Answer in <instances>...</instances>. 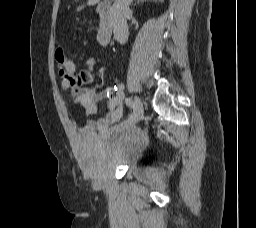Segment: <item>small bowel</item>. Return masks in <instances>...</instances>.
Segmentation results:
<instances>
[{"mask_svg":"<svg viewBox=\"0 0 256 228\" xmlns=\"http://www.w3.org/2000/svg\"><path fill=\"white\" fill-rule=\"evenodd\" d=\"M83 65L84 69L77 75L75 74L76 64L73 60L68 59L65 64L61 65L59 69L61 85L75 103L83 106L85 115L95 114L98 109V102L114 94V106L112 110L101 119L87 121L85 126L80 130L81 134L93 132L103 133L112 124L120 121L124 115L122 93L116 87H107L103 90H98L96 87H83V85L92 83L95 79V59L91 57L87 58Z\"/></svg>","mask_w":256,"mask_h":228,"instance_id":"1","label":"small bowel"}]
</instances>
